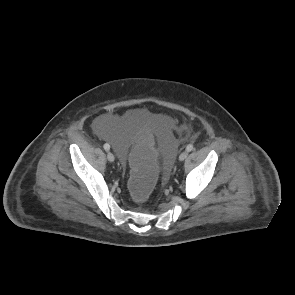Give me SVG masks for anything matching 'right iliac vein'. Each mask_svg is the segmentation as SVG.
<instances>
[{
	"mask_svg": "<svg viewBox=\"0 0 295 295\" xmlns=\"http://www.w3.org/2000/svg\"><path fill=\"white\" fill-rule=\"evenodd\" d=\"M107 159L109 162H113L115 160L114 155L111 152L107 153Z\"/></svg>",
	"mask_w": 295,
	"mask_h": 295,
	"instance_id": "obj_1",
	"label": "right iliac vein"
}]
</instances>
